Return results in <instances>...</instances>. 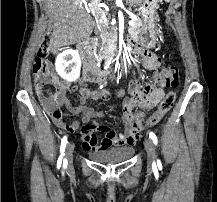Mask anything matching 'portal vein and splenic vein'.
Segmentation results:
<instances>
[{
  "mask_svg": "<svg viewBox=\"0 0 217 202\" xmlns=\"http://www.w3.org/2000/svg\"><path fill=\"white\" fill-rule=\"evenodd\" d=\"M97 2H100V0H94V4H97ZM126 14H131V12H126ZM129 26H135V22H134V18L133 20H130V22H128ZM112 26H114V24H112Z\"/></svg>",
  "mask_w": 217,
  "mask_h": 202,
  "instance_id": "portal-vein-and-splenic-vein-1",
  "label": "portal vein and splenic vein"
}]
</instances>
